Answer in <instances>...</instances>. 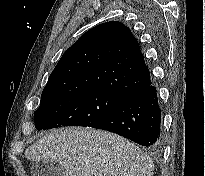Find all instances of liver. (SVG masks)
I'll return each instance as SVG.
<instances>
[{"mask_svg":"<svg viewBox=\"0 0 205 176\" xmlns=\"http://www.w3.org/2000/svg\"><path fill=\"white\" fill-rule=\"evenodd\" d=\"M25 157L59 163L65 176H153L154 169L152 159L122 136L79 127L51 130Z\"/></svg>","mask_w":205,"mask_h":176,"instance_id":"1","label":"liver"}]
</instances>
